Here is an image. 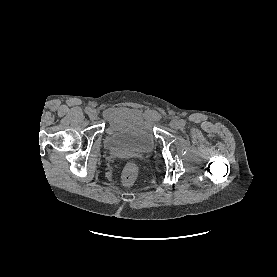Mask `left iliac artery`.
Returning a JSON list of instances; mask_svg holds the SVG:
<instances>
[{
	"instance_id": "left-iliac-artery-1",
	"label": "left iliac artery",
	"mask_w": 277,
	"mask_h": 277,
	"mask_svg": "<svg viewBox=\"0 0 277 277\" xmlns=\"http://www.w3.org/2000/svg\"><path fill=\"white\" fill-rule=\"evenodd\" d=\"M181 126H185V121L181 120Z\"/></svg>"
}]
</instances>
